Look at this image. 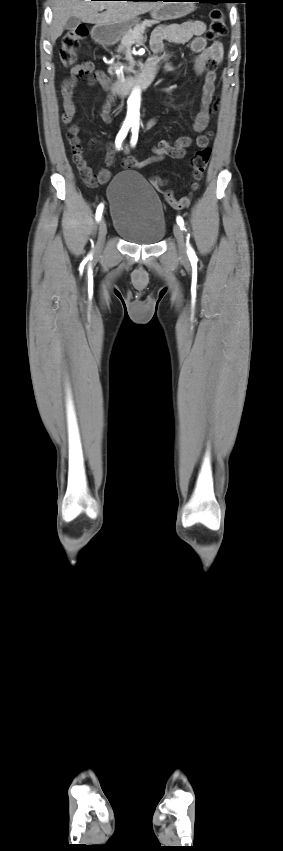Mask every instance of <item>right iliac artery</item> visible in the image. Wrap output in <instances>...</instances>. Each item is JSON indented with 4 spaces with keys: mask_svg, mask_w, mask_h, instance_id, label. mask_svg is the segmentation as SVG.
Here are the masks:
<instances>
[{
    "mask_svg": "<svg viewBox=\"0 0 283 851\" xmlns=\"http://www.w3.org/2000/svg\"><path fill=\"white\" fill-rule=\"evenodd\" d=\"M129 128H130V124L125 123V124L122 126L121 130L119 131V133H118V135H117V137H116V140H115V144H116V147H117L118 149H120V148H121L122 141L125 139V137H126V135H127V133H128ZM102 212H103V204H100V205L97 207V210H96V220H97V221H99V220H100L101 215H102Z\"/></svg>",
    "mask_w": 283,
    "mask_h": 851,
    "instance_id": "obj_1",
    "label": "right iliac artery"
}]
</instances>
